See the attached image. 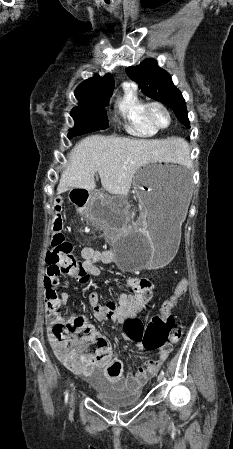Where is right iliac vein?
Listing matches in <instances>:
<instances>
[{"mask_svg":"<svg viewBox=\"0 0 233 449\" xmlns=\"http://www.w3.org/2000/svg\"><path fill=\"white\" fill-rule=\"evenodd\" d=\"M74 402V394L71 395V404Z\"/></svg>","mask_w":233,"mask_h":449,"instance_id":"63e3f726","label":"right iliac vein"}]
</instances>
